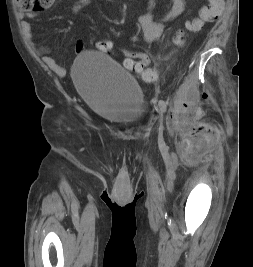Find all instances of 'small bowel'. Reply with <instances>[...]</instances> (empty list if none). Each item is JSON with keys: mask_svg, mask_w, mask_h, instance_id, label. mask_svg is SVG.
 Masks as SVG:
<instances>
[{"mask_svg": "<svg viewBox=\"0 0 253 267\" xmlns=\"http://www.w3.org/2000/svg\"><path fill=\"white\" fill-rule=\"evenodd\" d=\"M171 7L160 17L154 16V8L156 4V0H149L148 9L144 15L141 16L139 23L140 28L143 33L144 39L148 43H154L157 41L163 34L165 25L167 22L177 18L180 16L186 6L185 0H171ZM91 4V0H77L76 3L72 6L71 10L74 14H78L87 8ZM29 17H32L33 14H28ZM22 32L27 40V42L31 45V47L41 56V58L46 63H52L53 59L51 57V51L48 47L43 45H37L32 40V27L29 22L23 21L22 24ZM84 47L82 43H78L76 45V51L79 53L83 51Z\"/></svg>", "mask_w": 253, "mask_h": 267, "instance_id": "c3829d8e", "label": "small bowel"}]
</instances>
